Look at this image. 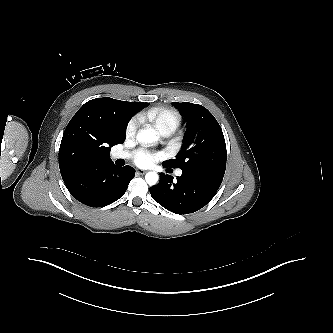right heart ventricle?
I'll use <instances>...</instances> for the list:
<instances>
[{
  "instance_id": "right-heart-ventricle-1",
  "label": "right heart ventricle",
  "mask_w": 333,
  "mask_h": 333,
  "mask_svg": "<svg viewBox=\"0 0 333 333\" xmlns=\"http://www.w3.org/2000/svg\"><path fill=\"white\" fill-rule=\"evenodd\" d=\"M143 118L151 122L162 134L174 132L181 123L180 113L168 107H153L143 114Z\"/></svg>"
}]
</instances>
